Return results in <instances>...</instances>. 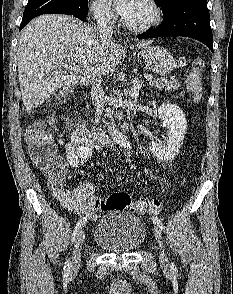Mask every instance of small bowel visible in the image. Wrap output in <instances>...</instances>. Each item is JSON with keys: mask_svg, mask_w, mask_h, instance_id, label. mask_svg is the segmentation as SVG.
<instances>
[{"mask_svg": "<svg viewBox=\"0 0 233 294\" xmlns=\"http://www.w3.org/2000/svg\"><path fill=\"white\" fill-rule=\"evenodd\" d=\"M67 163L71 167H78L85 164L92 155V147L84 143L78 135L74 134L69 142L61 141ZM150 177L154 175L145 170ZM53 196L69 211L86 218V220H95L97 215L90 206L92 200L98 199L94 195V185L91 182H80L74 188L65 185H55L51 182Z\"/></svg>", "mask_w": 233, "mask_h": 294, "instance_id": "c3829d8e", "label": "small bowel"}]
</instances>
